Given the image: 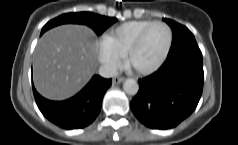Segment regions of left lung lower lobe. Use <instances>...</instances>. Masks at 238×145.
Instances as JSON below:
<instances>
[{
  "label": "left lung lower lobe",
  "instance_id": "left-lung-lower-lobe-1",
  "mask_svg": "<svg viewBox=\"0 0 238 145\" xmlns=\"http://www.w3.org/2000/svg\"><path fill=\"white\" fill-rule=\"evenodd\" d=\"M184 26L172 30L182 36ZM203 61L198 45L170 54L153 74L139 80V91L130 102L136 118L152 129H170L196 108L203 90Z\"/></svg>",
  "mask_w": 238,
  "mask_h": 145
}]
</instances>
